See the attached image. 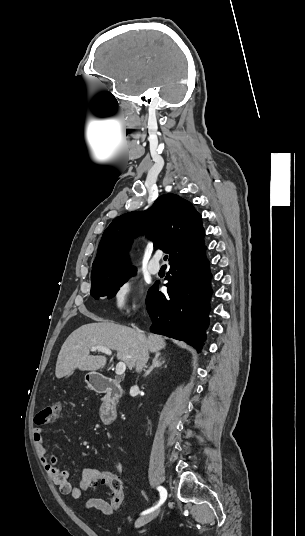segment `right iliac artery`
<instances>
[{
	"mask_svg": "<svg viewBox=\"0 0 305 536\" xmlns=\"http://www.w3.org/2000/svg\"><path fill=\"white\" fill-rule=\"evenodd\" d=\"M157 489L160 492V501H159L158 505H156L155 507H152L151 509H148V510L144 511L142 514H146V513H149L151 511L155 510L156 508H158L166 500V497H167L166 489L164 487H162V486H159Z\"/></svg>",
	"mask_w": 305,
	"mask_h": 536,
	"instance_id": "82829eb1",
	"label": "right iliac artery"
}]
</instances>
